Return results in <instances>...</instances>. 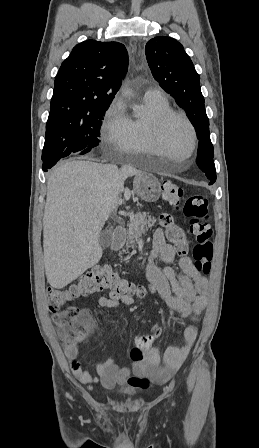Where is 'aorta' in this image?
Returning <instances> with one entry per match:
<instances>
[{
    "instance_id": "1",
    "label": "aorta",
    "mask_w": 259,
    "mask_h": 448,
    "mask_svg": "<svg viewBox=\"0 0 259 448\" xmlns=\"http://www.w3.org/2000/svg\"><path fill=\"white\" fill-rule=\"evenodd\" d=\"M125 94H130L128 91H124Z\"/></svg>"
}]
</instances>
